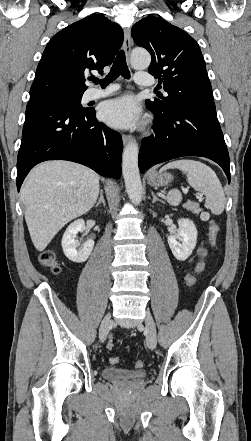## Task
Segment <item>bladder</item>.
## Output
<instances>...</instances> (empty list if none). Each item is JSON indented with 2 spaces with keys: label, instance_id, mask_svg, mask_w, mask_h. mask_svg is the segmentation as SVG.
<instances>
[{
  "label": "bladder",
  "instance_id": "bladder-1",
  "mask_svg": "<svg viewBox=\"0 0 251 441\" xmlns=\"http://www.w3.org/2000/svg\"><path fill=\"white\" fill-rule=\"evenodd\" d=\"M102 377L111 382L139 381L147 376L146 371L125 368L106 367L101 372Z\"/></svg>",
  "mask_w": 251,
  "mask_h": 441
}]
</instances>
